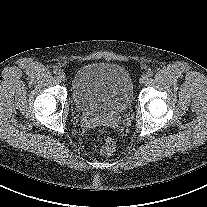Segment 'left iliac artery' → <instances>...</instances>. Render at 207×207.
Masks as SVG:
<instances>
[{"mask_svg": "<svg viewBox=\"0 0 207 207\" xmlns=\"http://www.w3.org/2000/svg\"><path fill=\"white\" fill-rule=\"evenodd\" d=\"M147 76H148V77L153 76V71H148V72H147Z\"/></svg>", "mask_w": 207, "mask_h": 207, "instance_id": "obj_1", "label": "left iliac artery"}]
</instances>
